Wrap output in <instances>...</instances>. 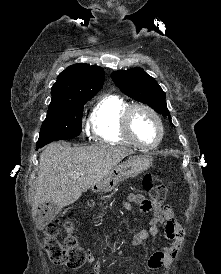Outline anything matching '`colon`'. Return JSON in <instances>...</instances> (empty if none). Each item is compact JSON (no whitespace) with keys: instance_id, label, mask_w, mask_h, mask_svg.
Instances as JSON below:
<instances>
[{"instance_id":"5ec220e1","label":"colon","mask_w":221,"mask_h":274,"mask_svg":"<svg viewBox=\"0 0 221 274\" xmlns=\"http://www.w3.org/2000/svg\"><path fill=\"white\" fill-rule=\"evenodd\" d=\"M143 187L149 194L151 201L161 203L166 199L167 188L158 176L146 175L143 180ZM63 226L67 236L64 243L61 244L57 239L59 222L52 221L44 225V249L54 263L70 269H78L89 259V253L78 244L77 239L72 234L74 227L72 221L66 220Z\"/></svg>"}]
</instances>
